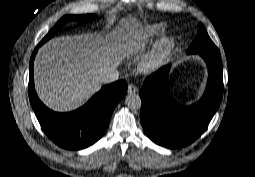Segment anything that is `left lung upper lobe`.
I'll return each mask as SVG.
<instances>
[{"label": "left lung upper lobe", "mask_w": 255, "mask_h": 177, "mask_svg": "<svg viewBox=\"0 0 255 177\" xmlns=\"http://www.w3.org/2000/svg\"><path fill=\"white\" fill-rule=\"evenodd\" d=\"M218 49L208 36L202 24L199 25L198 35L188 48L187 53L217 52Z\"/></svg>", "instance_id": "1"}]
</instances>
